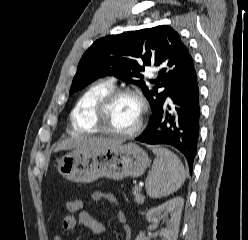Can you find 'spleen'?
Listing matches in <instances>:
<instances>
[{
	"instance_id": "1",
	"label": "spleen",
	"mask_w": 248,
	"mask_h": 240,
	"mask_svg": "<svg viewBox=\"0 0 248 240\" xmlns=\"http://www.w3.org/2000/svg\"><path fill=\"white\" fill-rule=\"evenodd\" d=\"M156 155L145 185L147 195L161 198L177 191L185 181V169L179 158L163 147L152 149Z\"/></svg>"
}]
</instances>
